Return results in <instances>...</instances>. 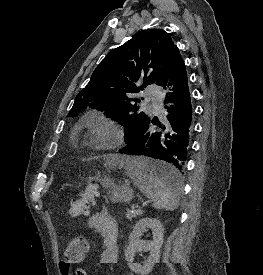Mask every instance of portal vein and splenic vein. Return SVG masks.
<instances>
[{"label": "portal vein and splenic vein", "instance_id": "18ae733b", "mask_svg": "<svg viewBox=\"0 0 263 275\" xmlns=\"http://www.w3.org/2000/svg\"><path fill=\"white\" fill-rule=\"evenodd\" d=\"M147 205V202H143V206ZM136 207H139L138 205H136Z\"/></svg>", "mask_w": 263, "mask_h": 275}]
</instances>
